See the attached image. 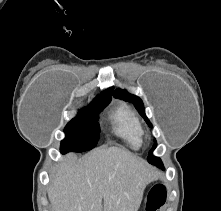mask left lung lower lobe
<instances>
[{
  "label": "left lung lower lobe",
  "mask_w": 221,
  "mask_h": 211,
  "mask_svg": "<svg viewBox=\"0 0 221 211\" xmlns=\"http://www.w3.org/2000/svg\"><path fill=\"white\" fill-rule=\"evenodd\" d=\"M160 168H162V169H163V165H161V166H160Z\"/></svg>",
  "instance_id": "1"
}]
</instances>
